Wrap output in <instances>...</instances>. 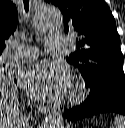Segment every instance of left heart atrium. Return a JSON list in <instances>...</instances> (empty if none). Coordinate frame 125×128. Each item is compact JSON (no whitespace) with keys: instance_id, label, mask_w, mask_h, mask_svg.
<instances>
[{"instance_id":"left-heart-atrium-1","label":"left heart atrium","mask_w":125,"mask_h":128,"mask_svg":"<svg viewBox=\"0 0 125 128\" xmlns=\"http://www.w3.org/2000/svg\"><path fill=\"white\" fill-rule=\"evenodd\" d=\"M19 81L28 95L40 100L56 99L70 86L66 68L45 61L25 68Z\"/></svg>"}]
</instances>
